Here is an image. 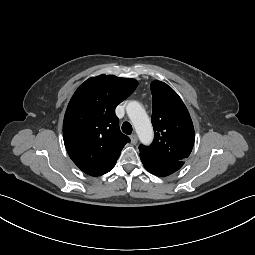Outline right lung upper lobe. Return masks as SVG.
<instances>
[{
	"label": "right lung upper lobe",
	"mask_w": 255,
	"mask_h": 255,
	"mask_svg": "<svg viewBox=\"0 0 255 255\" xmlns=\"http://www.w3.org/2000/svg\"><path fill=\"white\" fill-rule=\"evenodd\" d=\"M138 82L114 75L86 80L71 98L63 122V139L72 161L84 173L100 176L116 164L130 138L119 128L116 106Z\"/></svg>",
	"instance_id": "right-lung-upper-lobe-1"
}]
</instances>
